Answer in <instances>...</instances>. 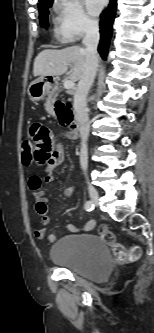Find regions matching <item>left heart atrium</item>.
<instances>
[{
    "instance_id": "1",
    "label": "left heart atrium",
    "mask_w": 154,
    "mask_h": 333,
    "mask_svg": "<svg viewBox=\"0 0 154 333\" xmlns=\"http://www.w3.org/2000/svg\"><path fill=\"white\" fill-rule=\"evenodd\" d=\"M89 12L97 15L106 3V0H85Z\"/></svg>"
}]
</instances>
